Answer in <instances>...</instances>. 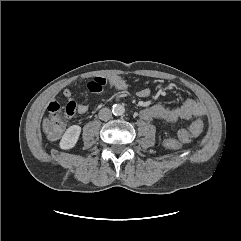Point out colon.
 Here are the masks:
<instances>
[{
  "instance_id": "1",
  "label": "colon",
  "mask_w": 241,
  "mask_h": 241,
  "mask_svg": "<svg viewBox=\"0 0 241 241\" xmlns=\"http://www.w3.org/2000/svg\"><path fill=\"white\" fill-rule=\"evenodd\" d=\"M106 80L102 77H96L87 84L89 91L93 93H102L105 89ZM76 102L70 101L65 107H62L57 102H52L48 106V117L44 121L43 128L45 133L52 139L58 138L66 124L68 118L72 117L76 111ZM163 123L168 122L163 120ZM203 130V123L200 120H195L188 128L190 137L198 136ZM167 148L172 150H180L181 142L175 139H168L165 142Z\"/></svg>"
}]
</instances>
